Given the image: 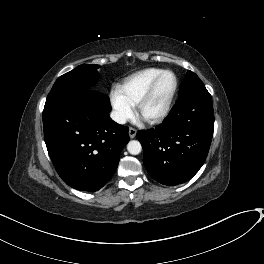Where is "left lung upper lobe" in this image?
<instances>
[{
  "label": "left lung upper lobe",
  "instance_id": "left-lung-upper-lobe-1",
  "mask_svg": "<svg viewBox=\"0 0 264 264\" xmlns=\"http://www.w3.org/2000/svg\"><path fill=\"white\" fill-rule=\"evenodd\" d=\"M207 90L203 82L200 78L193 73L192 71L188 70L185 75L183 83L180 85V90L178 97H182L188 93L195 92V91H205Z\"/></svg>",
  "mask_w": 264,
  "mask_h": 264
}]
</instances>
